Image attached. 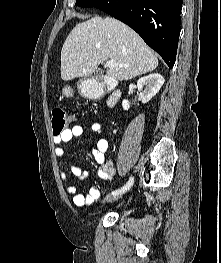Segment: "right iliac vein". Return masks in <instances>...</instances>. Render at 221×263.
Instances as JSON below:
<instances>
[{
    "label": "right iliac vein",
    "instance_id": "right-iliac-vein-1",
    "mask_svg": "<svg viewBox=\"0 0 221 263\" xmlns=\"http://www.w3.org/2000/svg\"><path fill=\"white\" fill-rule=\"evenodd\" d=\"M121 196L122 194H117V195L110 194V195H107L104 200L107 203H111V202L118 200Z\"/></svg>",
    "mask_w": 221,
    "mask_h": 263
}]
</instances>
